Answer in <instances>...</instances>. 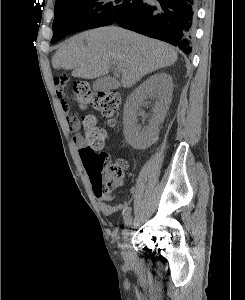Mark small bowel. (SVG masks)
Instances as JSON below:
<instances>
[{
  "instance_id": "small-bowel-1",
  "label": "small bowel",
  "mask_w": 245,
  "mask_h": 300,
  "mask_svg": "<svg viewBox=\"0 0 245 300\" xmlns=\"http://www.w3.org/2000/svg\"><path fill=\"white\" fill-rule=\"evenodd\" d=\"M58 96L61 97V93L57 92ZM62 108L66 112L68 111V107L65 103H62ZM67 122L69 125V129L73 134V141L74 143L79 147L82 148L85 145L84 138L80 132V122L74 115L68 114L67 117ZM107 158L108 154L103 153ZM138 192V189L136 187H132L130 189V193L132 196H135ZM109 198H100L99 199V208L103 214H112L114 212L120 211V210H126L127 203L126 202H121V203H116V204H110L108 202Z\"/></svg>"
}]
</instances>
